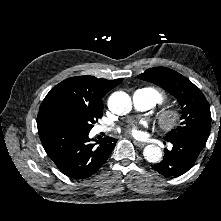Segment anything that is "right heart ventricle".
Returning a JSON list of instances; mask_svg holds the SVG:
<instances>
[{
  "label": "right heart ventricle",
  "instance_id": "1",
  "mask_svg": "<svg viewBox=\"0 0 221 221\" xmlns=\"http://www.w3.org/2000/svg\"><path fill=\"white\" fill-rule=\"evenodd\" d=\"M151 89L155 93L157 102H162L165 99L166 95L162 91L157 90V89H153V88H151Z\"/></svg>",
  "mask_w": 221,
  "mask_h": 221
}]
</instances>
